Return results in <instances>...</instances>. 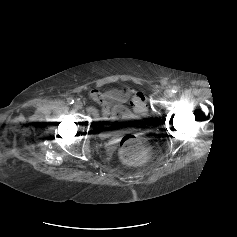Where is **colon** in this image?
I'll return each mask as SVG.
<instances>
[{
    "mask_svg": "<svg viewBox=\"0 0 237 237\" xmlns=\"http://www.w3.org/2000/svg\"><path fill=\"white\" fill-rule=\"evenodd\" d=\"M147 141L138 134H128L121 141L120 156L128 164L142 163L149 157Z\"/></svg>",
    "mask_w": 237,
    "mask_h": 237,
    "instance_id": "obj_1",
    "label": "colon"
}]
</instances>
